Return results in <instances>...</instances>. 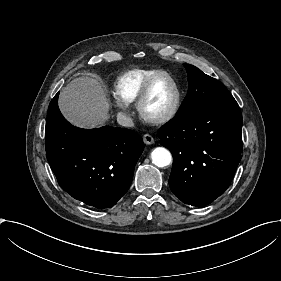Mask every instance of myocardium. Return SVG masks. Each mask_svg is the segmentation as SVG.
Returning a JSON list of instances; mask_svg holds the SVG:
<instances>
[{
	"label": "myocardium",
	"mask_w": 281,
	"mask_h": 281,
	"mask_svg": "<svg viewBox=\"0 0 281 281\" xmlns=\"http://www.w3.org/2000/svg\"><path fill=\"white\" fill-rule=\"evenodd\" d=\"M162 79H168L173 86V100L170 109L161 116H153L147 113L145 105L150 99L155 85ZM181 93L177 80L170 73H162L156 76H153L148 80L144 89L142 90L138 100H137V110L140 117L151 124H165L171 121L177 114L180 106Z\"/></svg>",
	"instance_id": "f54148a6"
}]
</instances>
